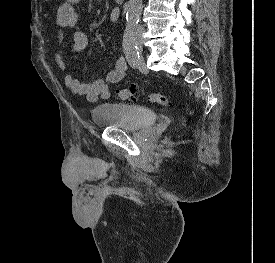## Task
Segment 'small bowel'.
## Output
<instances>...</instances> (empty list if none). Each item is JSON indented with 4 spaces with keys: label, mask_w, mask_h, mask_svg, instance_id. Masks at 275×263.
I'll use <instances>...</instances> for the list:
<instances>
[{
    "label": "small bowel",
    "mask_w": 275,
    "mask_h": 263,
    "mask_svg": "<svg viewBox=\"0 0 275 263\" xmlns=\"http://www.w3.org/2000/svg\"><path fill=\"white\" fill-rule=\"evenodd\" d=\"M79 2L80 0H66L57 10L56 24L58 26V48L55 52V62L61 71H65L66 69V63L61 48L65 37L64 31L76 25L78 15L74 7ZM108 17L111 22H117L120 18L119 9H112ZM87 45V35L83 31H75L70 43L71 51L81 52ZM127 71V62L125 58L120 57L116 60L113 69L106 72L105 78L96 79L91 83H83L72 74H66L65 84L73 93L85 96L87 100L91 102H96L99 98L106 100L110 97L109 85L122 81Z\"/></svg>",
    "instance_id": "1"
}]
</instances>
